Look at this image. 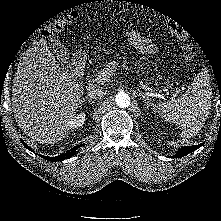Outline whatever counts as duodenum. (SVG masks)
<instances>
[{
  "instance_id": "410a0bca",
  "label": "duodenum",
  "mask_w": 221,
  "mask_h": 221,
  "mask_svg": "<svg viewBox=\"0 0 221 221\" xmlns=\"http://www.w3.org/2000/svg\"><path fill=\"white\" fill-rule=\"evenodd\" d=\"M76 63H77L76 72L79 73L80 75H83L84 71H85V63H84V61L82 60V58L77 57L76 58Z\"/></svg>"
}]
</instances>
